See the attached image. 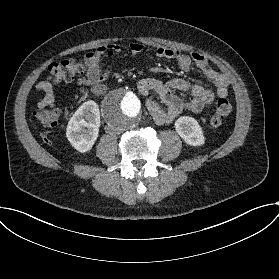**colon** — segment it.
Masks as SVG:
<instances>
[{"label":"colon","instance_id":"5ec220e1","mask_svg":"<svg viewBox=\"0 0 279 279\" xmlns=\"http://www.w3.org/2000/svg\"><path fill=\"white\" fill-rule=\"evenodd\" d=\"M50 75L56 83L70 80L76 75H80L84 71L83 63L77 58H70L60 62L52 63L48 67ZM232 110L231 102L227 98H221L217 105L214 114L210 120L212 128L219 127L229 116ZM59 110L55 105L49 104L40 109L33 111V117L44 128H51L56 125Z\"/></svg>","mask_w":279,"mask_h":279}]
</instances>
